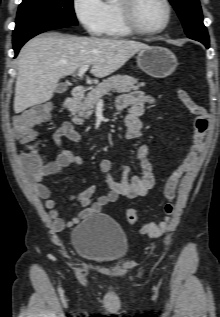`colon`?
Here are the masks:
<instances>
[{"mask_svg":"<svg viewBox=\"0 0 220 317\" xmlns=\"http://www.w3.org/2000/svg\"><path fill=\"white\" fill-rule=\"evenodd\" d=\"M178 94L181 101L194 116V134L187 154L166 178L163 187V194L166 199L164 206L166 217L161 223L155 224L153 222L142 223L139 212L136 209H129L126 214L127 220L131 225L139 226L141 232L153 237L160 236L173 224V201L176 196L177 186L182 176L194 164L201 152L210 126V116L205 107L197 103L184 89H180ZM51 114V107L48 104H41L16 115L12 122L15 137L25 144H32L35 140L34 127L37 124L47 121L51 117ZM25 156V161L30 167L36 170L42 167L43 160L37 152L30 151L25 153Z\"/></svg>","mask_w":220,"mask_h":317,"instance_id":"obj_1","label":"colon"}]
</instances>
